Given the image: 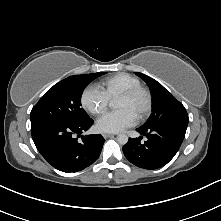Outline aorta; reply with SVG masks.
Masks as SVG:
<instances>
[{"mask_svg":"<svg viewBox=\"0 0 221 221\" xmlns=\"http://www.w3.org/2000/svg\"><path fill=\"white\" fill-rule=\"evenodd\" d=\"M117 142L121 145H125L128 142V136L125 134H119L117 136Z\"/></svg>","mask_w":221,"mask_h":221,"instance_id":"1","label":"aorta"}]
</instances>
